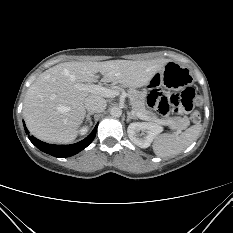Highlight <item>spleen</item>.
<instances>
[{
	"instance_id": "3e777b00",
	"label": "spleen",
	"mask_w": 233,
	"mask_h": 233,
	"mask_svg": "<svg viewBox=\"0 0 233 233\" xmlns=\"http://www.w3.org/2000/svg\"><path fill=\"white\" fill-rule=\"evenodd\" d=\"M201 133V125L191 126L181 134H164L153 143V151L159 157L173 156L189 147Z\"/></svg>"
}]
</instances>
